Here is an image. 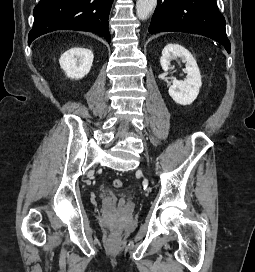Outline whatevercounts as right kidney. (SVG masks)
Instances as JSON below:
<instances>
[{"mask_svg": "<svg viewBox=\"0 0 255 272\" xmlns=\"http://www.w3.org/2000/svg\"><path fill=\"white\" fill-rule=\"evenodd\" d=\"M93 58L94 55L91 50L74 47L61 55L59 63L67 77L81 79L89 73Z\"/></svg>", "mask_w": 255, "mask_h": 272, "instance_id": "obj_1", "label": "right kidney"}]
</instances>
